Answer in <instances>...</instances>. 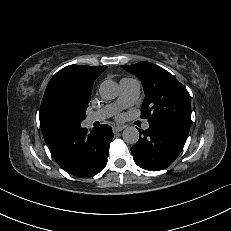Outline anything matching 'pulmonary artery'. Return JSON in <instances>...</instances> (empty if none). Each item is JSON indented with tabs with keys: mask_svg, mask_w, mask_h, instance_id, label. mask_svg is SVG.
Here are the masks:
<instances>
[{
	"mask_svg": "<svg viewBox=\"0 0 231 231\" xmlns=\"http://www.w3.org/2000/svg\"><path fill=\"white\" fill-rule=\"evenodd\" d=\"M141 84L139 80L135 78H123L120 80V95L118 99L97 111L91 112L86 116V123L92 124L97 121H103L119 110L129 107L138 101L140 95ZM144 129L149 128V123L146 122L143 125Z\"/></svg>",
	"mask_w": 231,
	"mask_h": 231,
	"instance_id": "pulmonary-artery-1",
	"label": "pulmonary artery"
}]
</instances>
